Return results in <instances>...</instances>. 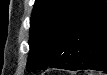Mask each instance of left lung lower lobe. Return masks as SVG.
<instances>
[{"instance_id": "1", "label": "left lung lower lobe", "mask_w": 107, "mask_h": 75, "mask_svg": "<svg viewBox=\"0 0 107 75\" xmlns=\"http://www.w3.org/2000/svg\"><path fill=\"white\" fill-rule=\"evenodd\" d=\"M96 1L93 9L80 21L77 41L63 49L64 57L59 65L65 66L64 69L107 73V9L105 1Z\"/></svg>"}]
</instances>
